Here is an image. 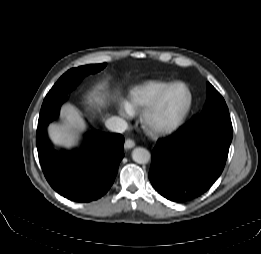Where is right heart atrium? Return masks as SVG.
<instances>
[{
    "mask_svg": "<svg viewBox=\"0 0 261 254\" xmlns=\"http://www.w3.org/2000/svg\"><path fill=\"white\" fill-rule=\"evenodd\" d=\"M120 113H121L122 115H128V114H130L131 112L129 111V109H128L127 105H126V106H124V107L121 109Z\"/></svg>",
    "mask_w": 261,
    "mask_h": 254,
    "instance_id": "d8ad5b80",
    "label": "right heart atrium"
}]
</instances>
